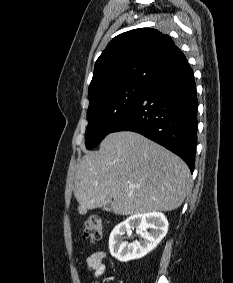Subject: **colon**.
I'll use <instances>...</instances> for the list:
<instances>
[{
    "label": "colon",
    "mask_w": 233,
    "mask_h": 283,
    "mask_svg": "<svg viewBox=\"0 0 233 283\" xmlns=\"http://www.w3.org/2000/svg\"><path fill=\"white\" fill-rule=\"evenodd\" d=\"M102 233V221L98 216H90L84 223L82 236L91 242L98 241Z\"/></svg>",
    "instance_id": "5ec220e1"
}]
</instances>
